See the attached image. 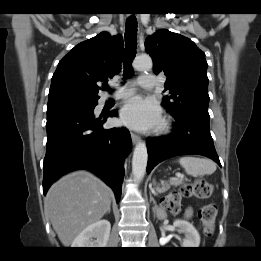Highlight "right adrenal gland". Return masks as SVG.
I'll list each match as a JSON object with an SVG mask.
<instances>
[{"label":"right adrenal gland","instance_id":"right-adrenal-gland-1","mask_svg":"<svg viewBox=\"0 0 261 261\" xmlns=\"http://www.w3.org/2000/svg\"><path fill=\"white\" fill-rule=\"evenodd\" d=\"M110 211H111V208H109V210H108V214L110 213Z\"/></svg>","mask_w":261,"mask_h":261}]
</instances>
